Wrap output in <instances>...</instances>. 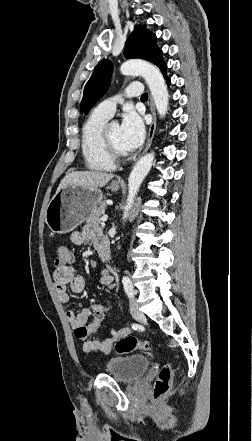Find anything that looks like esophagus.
I'll return each mask as SVG.
<instances>
[{
    "mask_svg": "<svg viewBox=\"0 0 252 441\" xmlns=\"http://www.w3.org/2000/svg\"><path fill=\"white\" fill-rule=\"evenodd\" d=\"M149 107H150V112L152 114V122L150 124L149 127V131H148V137H147V142H146V146L143 150V154L146 153L148 151V149L150 148V145L152 143V139L154 137V133L156 130V112H155V106H154V102L152 97H150V101H149ZM119 182H122V180H119Z\"/></svg>",
    "mask_w": 252,
    "mask_h": 441,
    "instance_id": "1",
    "label": "esophagus"
}]
</instances>
